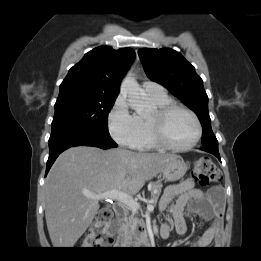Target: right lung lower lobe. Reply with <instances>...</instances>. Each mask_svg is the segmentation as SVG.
<instances>
[{
	"label": "right lung lower lobe",
	"instance_id": "1",
	"mask_svg": "<svg viewBox=\"0 0 261 261\" xmlns=\"http://www.w3.org/2000/svg\"><path fill=\"white\" fill-rule=\"evenodd\" d=\"M49 158L46 165V175L60 153L73 146H94L101 149L117 147L109 134L90 129H79L58 132L50 135Z\"/></svg>",
	"mask_w": 261,
	"mask_h": 261
}]
</instances>
